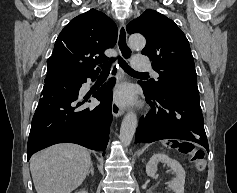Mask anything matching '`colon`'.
Wrapping results in <instances>:
<instances>
[{
    "label": "colon",
    "mask_w": 237,
    "mask_h": 193,
    "mask_svg": "<svg viewBox=\"0 0 237 193\" xmlns=\"http://www.w3.org/2000/svg\"><path fill=\"white\" fill-rule=\"evenodd\" d=\"M179 151L190 156L191 161L194 163L198 171H203L206 168L205 153L197 149L193 144L182 142L174 146Z\"/></svg>",
    "instance_id": "colon-1"
}]
</instances>
